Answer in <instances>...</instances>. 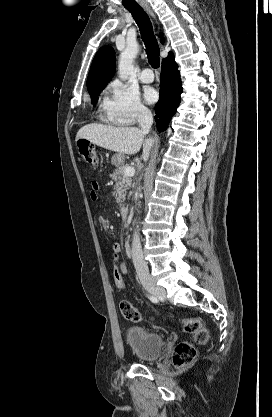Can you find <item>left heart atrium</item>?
Wrapping results in <instances>:
<instances>
[{"instance_id":"obj_1","label":"left heart atrium","mask_w":272,"mask_h":417,"mask_svg":"<svg viewBox=\"0 0 272 417\" xmlns=\"http://www.w3.org/2000/svg\"><path fill=\"white\" fill-rule=\"evenodd\" d=\"M144 96H145L146 101L149 103H154L158 99V93L153 88H146Z\"/></svg>"}]
</instances>
